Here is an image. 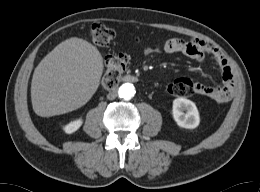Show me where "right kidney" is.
I'll use <instances>...</instances> for the list:
<instances>
[{
    "instance_id": "ca27d5eb",
    "label": "right kidney",
    "mask_w": 260,
    "mask_h": 192,
    "mask_svg": "<svg viewBox=\"0 0 260 192\" xmlns=\"http://www.w3.org/2000/svg\"><path fill=\"white\" fill-rule=\"evenodd\" d=\"M83 120L81 118L76 119L74 121H71L70 123H68L65 127H64V131L67 134H71L74 133L75 131H77L80 126L82 125Z\"/></svg>"
}]
</instances>
